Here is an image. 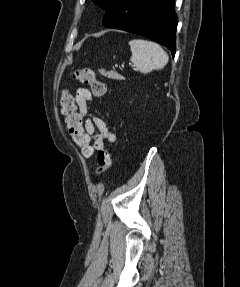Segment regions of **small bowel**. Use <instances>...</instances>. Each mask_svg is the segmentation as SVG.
Segmentation results:
<instances>
[{"mask_svg": "<svg viewBox=\"0 0 240 287\" xmlns=\"http://www.w3.org/2000/svg\"><path fill=\"white\" fill-rule=\"evenodd\" d=\"M93 102L91 92L86 88H79L74 97L77 112L82 118L86 117L83 124L89 136L94 137L93 148L98 151L105 148V143H114L116 136L110 131L105 121L89 113V105Z\"/></svg>", "mask_w": 240, "mask_h": 287, "instance_id": "small-bowel-1", "label": "small bowel"}]
</instances>
